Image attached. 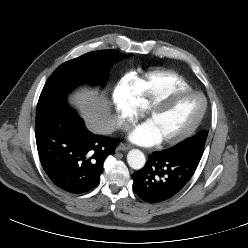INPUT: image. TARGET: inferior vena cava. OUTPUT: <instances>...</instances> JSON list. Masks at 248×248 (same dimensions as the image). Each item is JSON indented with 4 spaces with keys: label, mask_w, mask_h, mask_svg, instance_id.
<instances>
[{
    "label": "inferior vena cava",
    "mask_w": 248,
    "mask_h": 248,
    "mask_svg": "<svg viewBox=\"0 0 248 248\" xmlns=\"http://www.w3.org/2000/svg\"><path fill=\"white\" fill-rule=\"evenodd\" d=\"M114 125L117 128H121V129H124V130H129L131 128V126L127 122L122 121L120 119H117L116 122H114Z\"/></svg>",
    "instance_id": "inferior-vena-cava-1"
}]
</instances>
